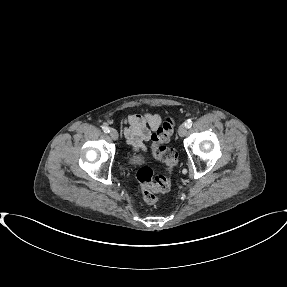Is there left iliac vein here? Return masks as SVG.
Returning a JSON list of instances; mask_svg holds the SVG:
<instances>
[{"label":"left iliac vein","mask_w":287,"mask_h":287,"mask_svg":"<svg viewBox=\"0 0 287 287\" xmlns=\"http://www.w3.org/2000/svg\"><path fill=\"white\" fill-rule=\"evenodd\" d=\"M187 133V127L185 126V124H181L179 129H178V134L180 137H184Z\"/></svg>","instance_id":"obj_1"}]
</instances>
